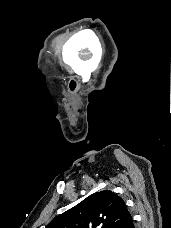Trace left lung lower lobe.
I'll return each mask as SVG.
<instances>
[{
	"label": "left lung lower lobe",
	"instance_id": "0a47b994",
	"mask_svg": "<svg viewBox=\"0 0 171 228\" xmlns=\"http://www.w3.org/2000/svg\"><path fill=\"white\" fill-rule=\"evenodd\" d=\"M122 228H135L134 226V221L132 219V217H130L124 224V226Z\"/></svg>",
	"mask_w": 171,
	"mask_h": 228
}]
</instances>
